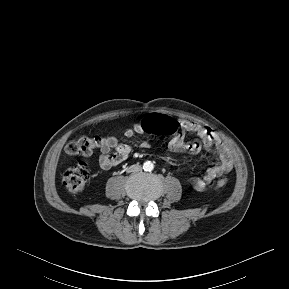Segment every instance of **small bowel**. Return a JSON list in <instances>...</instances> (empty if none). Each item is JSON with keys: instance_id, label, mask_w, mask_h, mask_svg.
Here are the masks:
<instances>
[{"instance_id": "obj_1", "label": "small bowel", "mask_w": 289, "mask_h": 289, "mask_svg": "<svg viewBox=\"0 0 289 289\" xmlns=\"http://www.w3.org/2000/svg\"><path fill=\"white\" fill-rule=\"evenodd\" d=\"M180 123L181 130L178 134L171 135L169 149L175 153L190 155L198 154L202 149H205L208 153L216 155V163L204 175L203 180L206 183L211 182L221 174L229 172L232 169L233 160L229 150L210 128L191 121H180ZM187 133L195 136L192 142L185 141ZM135 134H143L139 123L126 128L124 131V135L128 138L133 137ZM143 146L147 147L148 143L144 142ZM99 149L98 163L104 170H109L125 161L132 151L129 145L120 143L114 136L101 139Z\"/></svg>"}]
</instances>
